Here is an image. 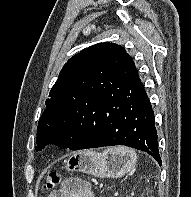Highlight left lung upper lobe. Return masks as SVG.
<instances>
[{
    "label": "left lung upper lobe",
    "instance_id": "obj_1",
    "mask_svg": "<svg viewBox=\"0 0 191 197\" xmlns=\"http://www.w3.org/2000/svg\"><path fill=\"white\" fill-rule=\"evenodd\" d=\"M133 59L114 43H98L75 54L62 68L38 122V150L56 144L65 148L66 130L75 117L91 113L103 93L136 75Z\"/></svg>",
    "mask_w": 191,
    "mask_h": 197
}]
</instances>
